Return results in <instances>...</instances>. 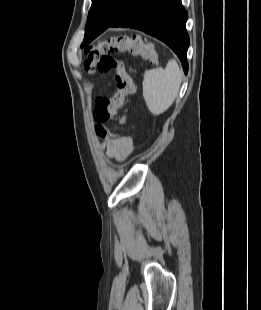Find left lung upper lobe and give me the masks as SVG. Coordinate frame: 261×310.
<instances>
[{"mask_svg": "<svg viewBox=\"0 0 261 310\" xmlns=\"http://www.w3.org/2000/svg\"><path fill=\"white\" fill-rule=\"evenodd\" d=\"M124 0H92L87 22H108L118 13Z\"/></svg>", "mask_w": 261, "mask_h": 310, "instance_id": "left-lung-upper-lobe-1", "label": "left lung upper lobe"}]
</instances>
